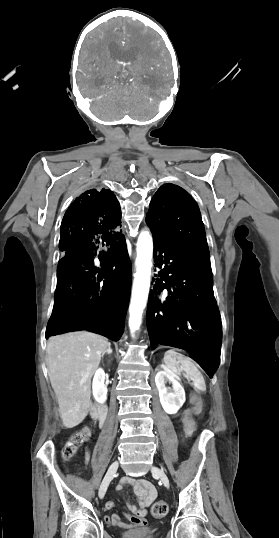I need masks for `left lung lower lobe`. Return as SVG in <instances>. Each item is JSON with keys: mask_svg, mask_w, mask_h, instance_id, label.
I'll return each instance as SVG.
<instances>
[{"mask_svg": "<svg viewBox=\"0 0 279 538\" xmlns=\"http://www.w3.org/2000/svg\"><path fill=\"white\" fill-rule=\"evenodd\" d=\"M153 278L147 309L151 348L184 349L210 376L220 364L222 327L213 293L209 250L154 241Z\"/></svg>", "mask_w": 279, "mask_h": 538, "instance_id": "0a47b994", "label": "left lung lower lobe"}]
</instances>
